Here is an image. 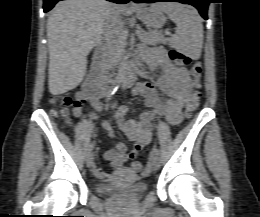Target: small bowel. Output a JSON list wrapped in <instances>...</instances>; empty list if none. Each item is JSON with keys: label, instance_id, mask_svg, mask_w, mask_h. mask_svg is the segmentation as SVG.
I'll use <instances>...</instances> for the list:
<instances>
[{"label": "small bowel", "instance_id": "obj_1", "mask_svg": "<svg viewBox=\"0 0 260 217\" xmlns=\"http://www.w3.org/2000/svg\"><path fill=\"white\" fill-rule=\"evenodd\" d=\"M144 61L150 70L157 73L154 80L138 82L133 92L135 95L143 97L146 105L152 109L143 112L139 119H126L127 108L120 106L115 113V119L120 129L134 142L132 149L127 152V147L120 142L113 150H108L104 154L112 171L124 166V164L137 156L146 147L152 137L153 120L157 115L164 116L171 125L178 124L182 119V109L188 102L192 92V80L185 68L174 66L163 49L156 48L144 54ZM102 94L95 93L85 95L83 92L77 96V101L73 106V113L77 117H82V108L86 100L97 110H102L100 102ZM91 119L100 120L98 115L90 113ZM108 135L113 138L114 131L105 120H100ZM94 175L99 179H105L107 172L101 171L97 166L93 167Z\"/></svg>", "mask_w": 260, "mask_h": 217}]
</instances>
